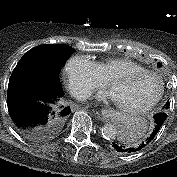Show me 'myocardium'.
I'll return each instance as SVG.
<instances>
[{"instance_id": "obj_1", "label": "myocardium", "mask_w": 177, "mask_h": 177, "mask_svg": "<svg viewBox=\"0 0 177 177\" xmlns=\"http://www.w3.org/2000/svg\"><path fill=\"white\" fill-rule=\"evenodd\" d=\"M139 76H151V77H154L155 79H157V81L159 83L158 92L151 100H149L148 102H146L142 105L126 106V105L116 102L117 107L123 111L131 112V113L145 112V111L151 109L153 106H155L163 96L164 81H163L162 77L158 73L150 71V70H146V69L145 70H131V71L117 74L109 80L108 85H109L110 89H112L116 83H118L122 80L134 78V77H139Z\"/></svg>"}]
</instances>
